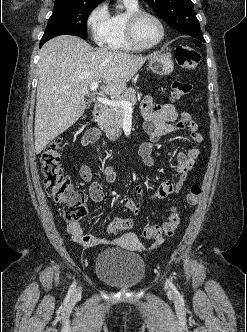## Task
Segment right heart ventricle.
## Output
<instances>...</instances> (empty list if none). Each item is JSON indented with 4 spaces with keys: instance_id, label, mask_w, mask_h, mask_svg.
<instances>
[{
    "instance_id": "1",
    "label": "right heart ventricle",
    "mask_w": 247,
    "mask_h": 332,
    "mask_svg": "<svg viewBox=\"0 0 247 332\" xmlns=\"http://www.w3.org/2000/svg\"><path fill=\"white\" fill-rule=\"evenodd\" d=\"M125 11L110 14L107 33L103 42L105 48L113 51H135L125 34V23L129 14L140 10L138 2L123 0Z\"/></svg>"
}]
</instances>
